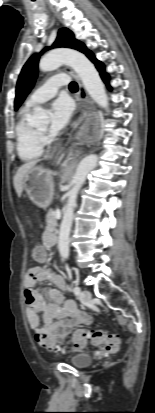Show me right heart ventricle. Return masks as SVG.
Instances as JSON below:
<instances>
[{
    "label": "right heart ventricle",
    "mask_w": 155,
    "mask_h": 413,
    "mask_svg": "<svg viewBox=\"0 0 155 413\" xmlns=\"http://www.w3.org/2000/svg\"><path fill=\"white\" fill-rule=\"evenodd\" d=\"M30 107L26 106L20 112L15 127L16 150L23 161H33L40 158L44 152L43 138L30 124Z\"/></svg>",
    "instance_id": "right-heart-ventricle-1"
}]
</instances>
